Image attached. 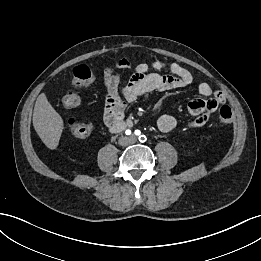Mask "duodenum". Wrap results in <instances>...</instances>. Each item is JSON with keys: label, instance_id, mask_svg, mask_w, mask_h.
<instances>
[{"label": "duodenum", "instance_id": "1", "mask_svg": "<svg viewBox=\"0 0 261 261\" xmlns=\"http://www.w3.org/2000/svg\"><path fill=\"white\" fill-rule=\"evenodd\" d=\"M126 127V123L122 122L114 127L111 128L112 131H120Z\"/></svg>", "mask_w": 261, "mask_h": 261}]
</instances>
